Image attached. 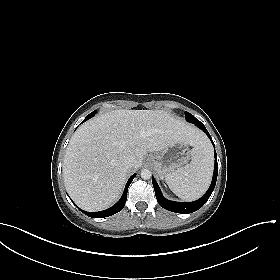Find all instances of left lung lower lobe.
<instances>
[{
  "label": "left lung lower lobe",
  "instance_id": "1",
  "mask_svg": "<svg viewBox=\"0 0 280 280\" xmlns=\"http://www.w3.org/2000/svg\"><path fill=\"white\" fill-rule=\"evenodd\" d=\"M193 123L207 134V136L210 138L212 144L214 145L213 140H212L210 134L208 133L207 129L204 127L203 123H201L200 121H198V122L193 121ZM217 174H218V164H217V155L215 152V167H214V173H213V179L211 182V186L209 187V189L207 190V192L204 194L203 197H201L200 199L193 201V202H174V201L165 199L161 193V190H160L157 182L152 177V183H153V187L155 190V195H156L157 201L163 208H165L169 211H172V212L183 213V214L195 212L196 210L200 209L207 202L210 195L212 194V192L215 188Z\"/></svg>",
  "mask_w": 280,
  "mask_h": 280
}]
</instances>
